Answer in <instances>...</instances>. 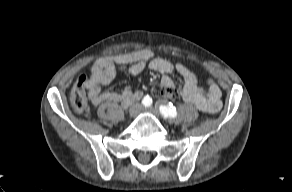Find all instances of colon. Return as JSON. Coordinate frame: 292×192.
I'll return each mask as SVG.
<instances>
[{"instance_id": "1", "label": "colon", "mask_w": 292, "mask_h": 192, "mask_svg": "<svg viewBox=\"0 0 292 192\" xmlns=\"http://www.w3.org/2000/svg\"><path fill=\"white\" fill-rule=\"evenodd\" d=\"M86 82V76L79 77L70 93L71 106L77 113L84 112L88 107ZM152 93L154 96L161 99H173L176 97L175 93L171 89L166 88L162 85L153 87Z\"/></svg>"}]
</instances>
